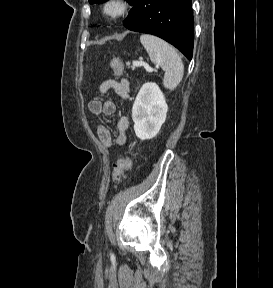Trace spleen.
I'll return each mask as SVG.
<instances>
[{"label":"spleen","instance_id":"1","mask_svg":"<svg viewBox=\"0 0 273 288\" xmlns=\"http://www.w3.org/2000/svg\"><path fill=\"white\" fill-rule=\"evenodd\" d=\"M140 41L151 61L164 70V87L174 90L181 82L184 72L183 63L176 50L163 39L153 35L143 34Z\"/></svg>","mask_w":273,"mask_h":288}]
</instances>
